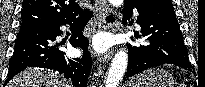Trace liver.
<instances>
[{"label": "liver", "instance_id": "obj_1", "mask_svg": "<svg viewBox=\"0 0 205 87\" xmlns=\"http://www.w3.org/2000/svg\"><path fill=\"white\" fill-rule=\"evenodd\" d=\"M7 87H71V84L51 71L26 69L13 77Z\"/></svg>", "mask_w": 205, "mask_h": 87}]
</instances>
